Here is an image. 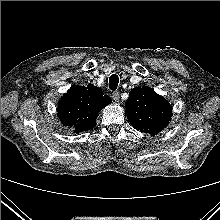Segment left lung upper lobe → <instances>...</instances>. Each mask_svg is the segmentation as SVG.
<instances>
[{
	"mask_svg": "<svg viewBox=\"0 0 220 220\" xmlns=\"http://www.w3.org/2000/svg\"><path fill=\"white\" fill-rule=\"evenodd\" d=\"M126 116L136 130L156 135L168 125L172 108L152 88L136 87L126 101Z\"/></svg>",
	"mask_w": 220,
	"mask_h": 220,
	"instance_id": "5c2ea615",
	"label": "left lung upper lobe"
}]
</instances>
